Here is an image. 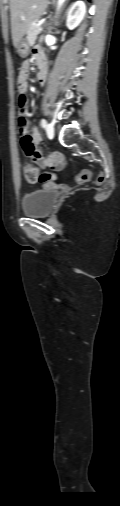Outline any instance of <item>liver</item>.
<instances>
[{"mask_svg":"<svg viewBox=\"0 0 120 506\" xmlns=\"http://www.w3.org/2000/svg\"><path fill=\"white\" fill-rule=\"evenodd\" d=\"M49 0H10L11 33L14 46L23 38L31 23L38 20Z\"/></svg>","mask_w":120,"mask_h":506,"instance_id":"6515ba94","label":"liver"}]
</instances>
